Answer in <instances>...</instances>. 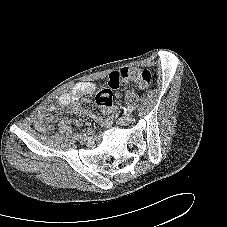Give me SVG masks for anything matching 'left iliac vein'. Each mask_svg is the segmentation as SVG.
Here are the masks:
<instances>
[{"instance_id": "4c4485c4", "label": "left iliac vein", "mask_w": 227, "mask_h": 227, "mask_svg": "<svg viewBox=\"0 0 227 227\" xmlns=\"http://www.w3.org/2000/svg\"><path fill=\"white\" fill-rule=\"evenodd\" d=\"M121 125H128L133 121V117L130 114L124 115L118 119Z\"/></svg>"}]
</instances>
